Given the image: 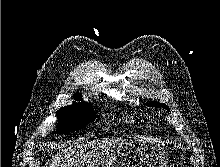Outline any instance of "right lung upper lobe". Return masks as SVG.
Here are the masks:
<instances>
[{"mask_svg":"<svg viewBox=\"0 0 220 167\" xmlns=\"http://www.w3.org/2000/svg\"><path fill=\"white\" fill-rule=\"evenodd\" d=\"M74 97H75V99H77V100H81V97H80V95H78V94H75Z\"/></svg>","mask_w":220,"mask_h":167,"instance_id":"cb5924a9","label":"right lung upper lobe"}]
</instances>
